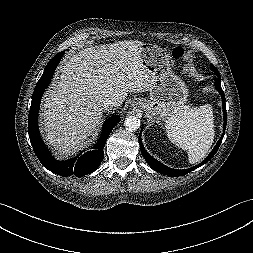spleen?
<instances>
[{
	"instance_id": "3e777b00",
	"label": "spleen",
	"mask_w": 253,
	"mask_h": 253,
	"mask_svg": "<svg viewBox=\"0 0 253 253\" xmlns=\"http://www.w3.org/2000/svg\"><path fill=\"white\" fill-rule=\"evenodd\" d=\"M165 127L169 140L187 151L191 164L197 163L206 156L214 141L213 108L210 104L183 106Z\"/></svg>"
}]
</instances>
